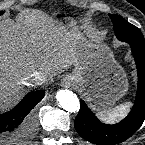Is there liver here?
<instances>
[{
    "label": "liver",
    "instance_id": "6515ba94",
    "mask_svg": "<svg viewBox=\"0 0 145 145\" xmlns=\"http://www.w3.org/2000/svg\"><path fill=\"white\" fill-rule=\"evenodd\" d=\"M68 29L38 10L0 22V105L19 93L33 72L46 75L77 64L79 36Z\"/></svg>",
    "mask_w": 145,
    "mask_h": 145
}]
</instances>
